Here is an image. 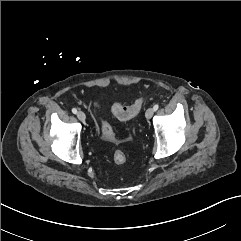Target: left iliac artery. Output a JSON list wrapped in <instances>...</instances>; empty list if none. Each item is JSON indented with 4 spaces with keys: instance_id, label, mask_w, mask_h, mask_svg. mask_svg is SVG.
<instances>
[{
    "instance_id": "left-iliac-artery-1",
    "label": "left iliac artery",
    "mask_w": 241,
    "mask_h": 241,
    "mask_svg": "<svg viewBox=\"0 0 241 241\" xmlns=\"http://www.w3.org/2000/svg\"><path fill=\"white\" fill-rule=\"evenodd\" d=\"M158 108H159V105H158V104H155V105L153 106L154 111H157Z\"/></svg>"
}]
</instances>
